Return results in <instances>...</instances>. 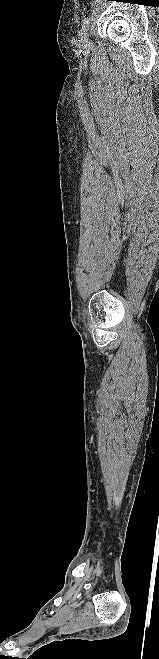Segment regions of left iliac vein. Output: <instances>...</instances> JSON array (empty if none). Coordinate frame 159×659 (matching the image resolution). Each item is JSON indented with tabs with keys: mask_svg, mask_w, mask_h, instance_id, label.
<instances>
[{
	"mask_svg": "<svg viewBox=\"0 0 159 659\" xmlns=\"http://www.w3.org/2000/svg\"><path fill=\"white\" fill-rule=\"evenodd\" d=\"M82 40L85 44H87L89 42L88 35L86 37H82Z\"/></svg>",
	"mask_w": 159,
	"mask_h": 659,
	"instance_id": "4c4485c4",
	"label": "left iliac vein"
}]
</instances>
